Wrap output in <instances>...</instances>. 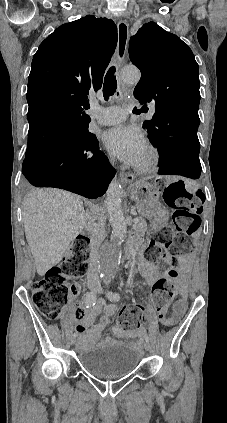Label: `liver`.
I'll use <instances>...</instances> for the list:
<instances>
[{
    "label": "liver",
    "instance_id": "liver-1",
    "mask_svg": "<svg viewBox=\"0 0 227 423\" xmlns=\"http://www.w3.org/2000/svg\"><path fill=\"white\" fill-rule=\"evenodd\" d=\"M26 239L37 273L56 265L83 229L90 231L82 198L56 188H42L28 194L23 204Z\"/></svg>",
    "mask_w": 227,
    "mask_h": 423
}]
</instances>
